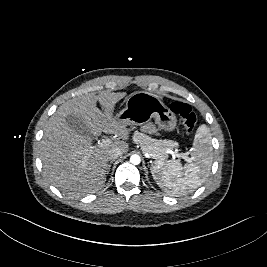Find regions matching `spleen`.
Returning <instances> with one entry per match:
<instances>
[{
	"instance_id": "spleen-1",
	"label": "spleen",
	"mask_w": 267,
	"mask_h": 267,
	"mask_svg": "<svg viewBox=\"0 0 267 267\" xmlns=\"http://www.w3.org/2000/svg\"><path fill=\"white\" fill-rule=\"evenodd\" d=\"M212 137L202 124L196 131L192 157L183 167L178 160L155 161L151 173L159 187L171 195H185L197 189L208 177L213 160Z\"/></svg>"
}]
</instances>
